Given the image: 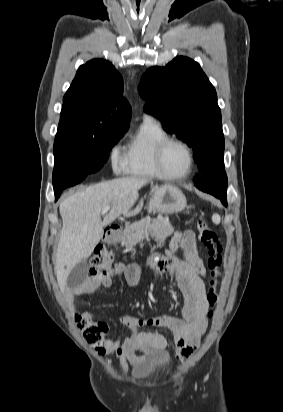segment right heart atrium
Masks as SVG:
<instances>
[{
  "mask_svg": "<svg viewBox=\"0 0 283 412\" xmlns=\"http://www.w3.org/2000/svg\"><path fill=\"white\" fill-rule=\"evenodd\" d=\"M110 159H111L113 168L116 171H119L122 169L124 154L122 153V147L119 142L115 143L112 146L111 151H110Z\"/></svg>",
  "mask_w": 283,
  "mask_h": 412,
  "instance_id": "right-heart-atrium-1",
  "label": "right heart atrium"
}]
</instances>
